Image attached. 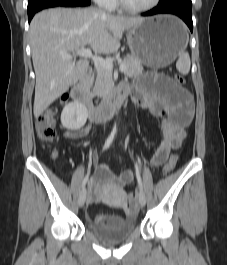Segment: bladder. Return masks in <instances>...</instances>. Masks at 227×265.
<instances>
[{
	"label": "bladder",
	"mask_w": 227,
	"mask_h": 265,
	"mask_svg": "<svg viewBox=\"0 0 227 265\" xmlns=\"http://www.w3.org/2000/svg\"><path fill=\"white\" fill-rule=\"evenodd\" d=\"M89 230L100 240L107 243H117L129 238L135 231V218H123L113 224H101L96 221L88 222Z\"/></svg>",
	"instance_id": "1"
}]
</instances>
